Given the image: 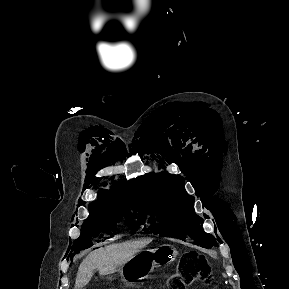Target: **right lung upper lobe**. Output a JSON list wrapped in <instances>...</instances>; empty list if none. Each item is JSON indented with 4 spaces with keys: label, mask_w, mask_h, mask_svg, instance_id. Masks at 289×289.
I'll use <instances>...</instances> for the list:
<instances>
[{
    "label": "right lung upper lobe",
    "mask_w": 289,
    "mask_h": 289,
    "mask_svg": "<svg viewBox=\"0 0 289 289\" xmlns=\"http://www.w3.org/2000/svg\"><path fill=\"white\" fill-rule=\"evenodd\" d=\"M129 184H119L113 182L110 190L101 189L98 192L97 201L92 202L90 205H107L123 202H131L136 204L134 191L130 188Z\"/></svg>",
    "instance_id": "cb5924a9"
}]
</instances>
